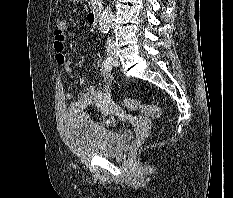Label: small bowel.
I'll list each match as a JSON object with an SVG mask.
<instances>
[{
    "label": "small bowel",
    "mask_w": 233,
    "mask_h": 198,
    "mask_svg": "<svg viewBox=\"0 0 233 198\" xmlns=\"http://www.w3.org/2000/svg\"><path fill=\"white\" fill-rule=\"evenodd\" d=\"M66 30L67 25L65 24ZM65 34L63 36H54V50H55V62L61 67L66 73L70 74L73 72L72 62L65 54ZM96 69L102 75L103 89L98 90L92 85L86 78H80L79 83L84 87V90L80 92L77 99H74L72 92H67L65 98L70 101V111L80 112L93 105L99 106L101 109L107 110L113 105L111 99V83L112 76L104 67V62L100 59L96 60Z\"/></svg>",
    "instance_id": "obj_1"
}]
</instances>
